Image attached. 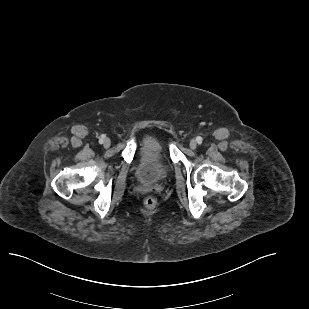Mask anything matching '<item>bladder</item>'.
I'll use <instances>...</instances> for the list:
<instances>
[{"mask_svg":"<svg viewBox=\"0 0 309 309\" xmlns=\"http://www.w3.org/2000/svg\"><path fill=\"white\" fill-rule=\"evenodd\" d=\"M170 173V164L162 143L155 137L143 139L139 148V159L135 168L137 179L143 183H155Z\"/></svg>","mask_w":309,"mask_h":309,"instance_id":"1","label":"bladder"}]
</instances>
